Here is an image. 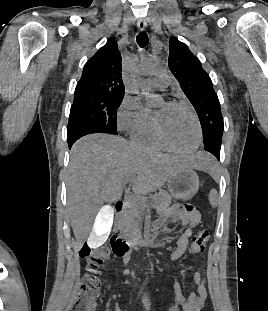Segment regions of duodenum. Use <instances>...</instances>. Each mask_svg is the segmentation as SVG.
I'll list each match as a JSON object with an SVG mask.
<instances>
[{
    "label": "duodenum",
    "mask_w": 268,
    "mask_h": 311,
    "mask_svg": "<svg viewBox=\"0 0 268 311\" xmlns=\"http://www.w3.org/2000/svg\"><path fill=\"white\" fill-rule=\"evenodd\" d=\"M124 208L122 201L117 202L115 205L116 213L119 215ZM151 243V238L148 235H139L132 239H123L117 235H113L110 239V246L114 253L118 256L129 254L132 250H136Z\"/></svg>",
    "instance_id": "410a0bca"
}]
</instances>
